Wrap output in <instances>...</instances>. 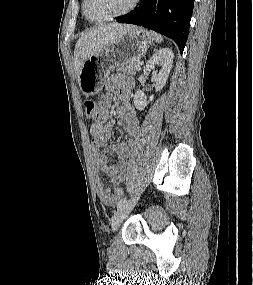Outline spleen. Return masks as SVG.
I'll return each instance as SVG.
<instances>
[{"mask_svg":"<svg viewBox=\"0 0 253 285\" xmlns=\"http://www.w3.org/2000/svg\"><path fill=\"white\" fill-rule=\"evenodd\" d=\"M150 33H151L153 39H154L157 43H161V42L163 41V37H162L160 34H158V33H156V32H153V31H151Z\"/></svg>","mask_w":253,"mask_h":285,"instance_id":"3e777b00","label":"spleen"}]
</instances>
